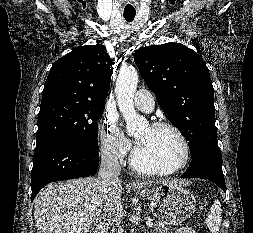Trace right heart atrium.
<instances>
[{"mask_svg": "<svg viewBox=\"0 0 253 233\" xmlns=\"http://www.w3.org/2000/svg\"><path fill=\"white\" fill-rule=\"evenodd\" d=\"M100 150L103 154L122 160L130 150V142L113 117H106L100 126Z\"/></svg>", "mask_w": 253, "mask_h": 233, "instance_id": "obj_1", "label": "right heart atrium"}]
</instances>
